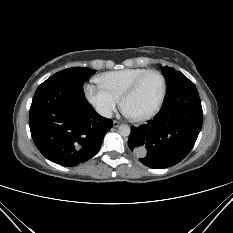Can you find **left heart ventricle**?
I'll use <instances>...</instances> for the list:
<instances>
[{"mask_svg":"<svg viewBox=\"0 0 233 233\" xmlns=\"http://www.w3.org/2000/svg\"><path fill=\"white\" fill-rule=\"evenodd\" d=\"M162 92V81L157 74L148 75L137 91L125 102V111L133 116L144 115L155 108Z\"/></svg>","mask_w":233,"mask_h":233,"instance_id":"b2bd125f","label":"left heart ventricle"}]
</instances>
